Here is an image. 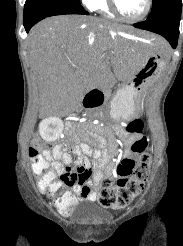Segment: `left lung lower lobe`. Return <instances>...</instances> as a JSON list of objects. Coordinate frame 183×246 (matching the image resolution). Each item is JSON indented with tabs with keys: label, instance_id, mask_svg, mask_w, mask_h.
Returning <instances> with one entry per match:
<instances>
[{
	"label": "left lung lower lobe",
	"instance_id": "obj_1",
	"mask_svg": "<svg viewBox=\"0 0 183 246\" xmlns=\"http://www.w3.org/2000/svg\"><path fill=\"white\" fill-rule=\"evenodd\" d=\"M182 1L171 4L157 16L147 18L133 26L162 35L173 48H176L179 36V23L181 19Z\"/></svg>",
	"mask_w": 183,
	"mask_h": 246
}]
</instances>
